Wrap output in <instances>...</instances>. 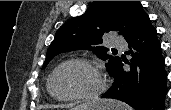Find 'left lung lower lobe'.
<instances>
[{
	"instance_id": "left-lung-lower-lobe-1",
	"label": "left lung lower lobe",
	"mask_w": 171,
	"mask_h": 110,
	"mask_svg": "<svg viewBox=\"0 0 171 110\" xmlns=\"http://www.w3.org/2000/svg\"><path fill=\"white\" fill-rule=\"evenodd\" d=\"M126 41L136 50L129 51L130 70H124L120 61L113 74L114 83L102 98L124 101L136 110H164L167 73L157 31L148 16Z\"/></svg>"
}]
</instances>
